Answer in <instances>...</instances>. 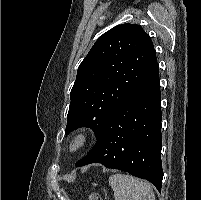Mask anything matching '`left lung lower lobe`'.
<instances>
[{"instance_id":"obj_1","label":"left lung lower lobe","mask_w":201,"mask_h":200,"mask_svg":"<svg viewBox=\"0 0 201 200\" xmlns=\"http://www.w3.org/2000/svg\"><path fill=\"white\" fill-rule=\"evenodd\" d=\"M161 94L158 64L115 107L90 152L75 166L101 163L162 188Z\"/></svg>"}]
</instances>
